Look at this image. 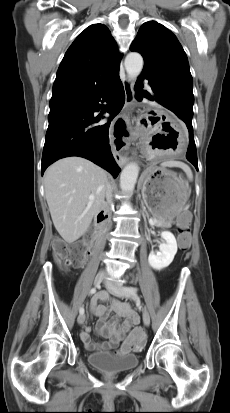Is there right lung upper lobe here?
Segmentation results:
<instances>
[{"label": "right lung upper lobe", "instance_id": "1", "mask_svg": "<svg viewBox=\"0 0 230 413\" xmlns=\"http://www.w3.org/2000/svg\"><path fill=\"white\" fill-rule=\"evenodd\" d=\"M121 55L103 24L87 27L66 51L53 84L50 107L83 101L119 76Z\"/></svg>", "mask_w": 230, "mask_h": 413}]
</instances>
